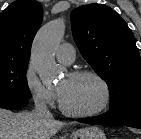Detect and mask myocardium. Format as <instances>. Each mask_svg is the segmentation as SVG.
I'll use <instances>...</instances> for the list:
<instances>
[{"label":"myocardium","instance_id":"f54148a6","mask_svg":"<svg viewBox=\"0 0 141 139\" xmlns=\"http://www.w3.org/2000/svg\"><path fill=\"white\" fill-rule=\"evenodd\" d=\"M69 76L72 78H79V77L94 78L102 86L104 97H103V101L101 105L98 108H96L95 110L88 111V112H78V111L69 109L65 105L62 99V96L60 92L58 91L59 107L64 114L71 116V117H76V118H91V117H96V116L101 115L103 112H105L108 109L111 103L112 94H111V89H110L108 82L102 75H100L98 72L93 71V70L82 69V70H74L70 72Z\"/></svg>","mask_w":141,"mask_h":139}]
</instances>
